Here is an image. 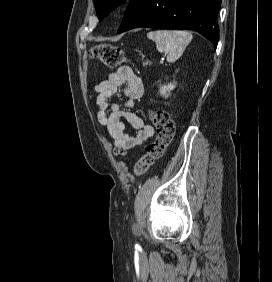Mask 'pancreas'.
<instances>
[{"label": "pancreas", "mask_w": 272, "mask_h": 282, "mask_svg": "<svg viewBox=\"0 0 272 282\" xmlns=\"http://www.w3.org/2000/svg\"><path fill=\"white\" fill-rule=\"evenodd\" d=\"M148 64H149V62H144V63H143L144 66H146V65H148Z\"/></svg>", "instance_id": "1"}]
</instances>
